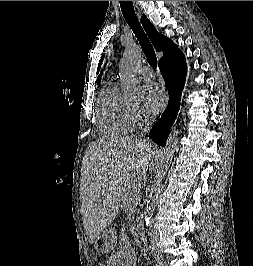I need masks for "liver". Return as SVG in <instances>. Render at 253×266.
Here are the masks:
<instances>
[{
	"mask_svg": "<svg viewBox=\"0 0 253 266\" xmlns=\"http://www.w3.org/2000/svg\"><path fill=\"white\" fill-rule=\"evenodd\" d=\"M157 147L151 141L125 136L90 143L83 159L81 210L90 244L119 212L125 191L150 167Z\"/></svg>",
	"mask_w": 253,
	"mask_h": 266,
	"instance_id": "obj_1",
	"label": "liver"
}]
</instances>
